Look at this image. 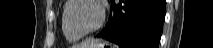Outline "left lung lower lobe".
<instances>
[{
	"instance_id": "left-lung-lower-lobe-1",
	"label": "left lung lower lobe",
	"mask_w": 213,
	"mask_h": 48,
	"mask_svg": "<svg viewBox=\"0 0 213 48\" xmlns=\"http://www.w3.org/2000/svg\"><path fill=\"white\" fill-rule=\"evenodd\" d=\"M106 28L97 37L121 48H158L165 18V0H111Z\"/></svg>"
}]
</instances>
